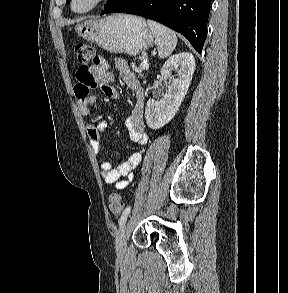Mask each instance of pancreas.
Masks as SVG:
<instances>
[{
	"label": "pancreas",
	"instance_id": "obj_1",
	"mask_svg": "<svg viewBox=\"0 0 288 293\" xmlns=\"http://www.w3.org/2000/svg\"><path fill=\"white\" fill-rule=\"evenodd\" d=\"M132 69H133V71L138 72L140 76L143 75L142 73H143V71L145 70V69H141V68L138 69L137 67L134 66V64H132Z\"/></svg>",
	"mask_w": 288,
	"mask_h": 293
}]
</instances>
